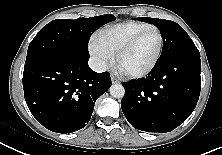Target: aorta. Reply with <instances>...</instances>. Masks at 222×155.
Here are the masks:
<instances>
[{
  "instance_id": "aorta-1",
  "label": "aorta",
  "mask_w": 222,
  "mask_h": 155,
  "mask_svg": "<svg viewBox=\"0 0 222 155\" xmlns=\"http://www.w3.org/2000/svg\"><path fill=\"white\" fill-rule=\"evenodd\" d=\"M110 95L114 98H122L125 94V89L121 84H113L110 89Z\"/></svg>"
}]
</instances>
